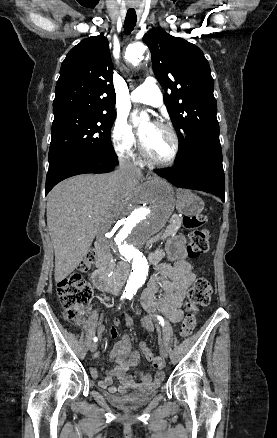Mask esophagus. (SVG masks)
Returning a JSON list of instances; mask_svg holds the SVG:
<instances>
[{
	"instance_id": "1",
	"label": "esophagus",
	"mask_w": 277,
	"mask_h": 438,
	"mask_svg": "<svg viewBox=\"0 0 277 438\" xmlns=\"http://www.w3.org/2000/svg\"><path fill=\"white\" fill-rule=\"evenodd\" d=\"M151 177H152V173L149 172V173L147 174V178H151Z\"/></svg>"
}]
</instances>
